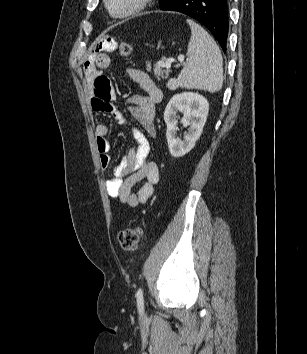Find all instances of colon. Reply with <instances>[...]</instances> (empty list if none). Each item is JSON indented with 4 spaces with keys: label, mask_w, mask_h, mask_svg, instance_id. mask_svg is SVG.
<instances>
[{
    "label": "colon",
    "mask_w": 307,
    "mask_h": 354,
    "mask_svg": "<svg viewBox=\"0 0 307 354\" xmlns=\"http://www.w3.org/2000/svg\"><path fill=\"white\" fill-rule=\"evenodd\" d=\"M120 54L124 57L130 56L132 46L127 42L119 44ZM143 230L139 226L130 227L122 230L118 235L120 247L125 252H132L137 249L142 238Z\"/></svg>",
    "instance_id": "5ec220e1"
}]
</instances>
